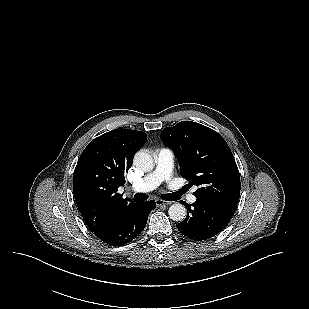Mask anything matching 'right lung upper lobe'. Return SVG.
<instances>
[{"mask_svg": "<svg viewBox=\"0 0 309 309\" xmlns=\"http://www.w3.org/2000/svg\"><path fill=\"white\" fill-rule=\"evenodd\" d=\"M146 140L144 132L115 129L95 138L82 152L73 174V193L92 232L100 231L132 203L117 191L125 183L124 174L135 153Z\"/></svg>", "mask_w": 309, "mask_h": 309, "instance_id": "1", "label": "right lung upper lobe"}]
</instances>
